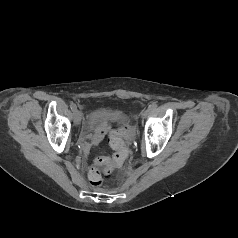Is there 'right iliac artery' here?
<instances>
[{"label": "right iliac artery", "mask_w": 238, "mask_h": 238, "mask_svg": "<svg viewBox=\"0 0 238 238\" xmlns=\"http://www.w3.org/2000/svg\"><path fill=\"white\" fill-rule=\"evenodd\" d=\"M70 107H71V110H72L73 112H76L77 109H76V106H75L74 104H72Z\"/></svg>", "instance_id": "right-iliac-artery-1"}]
</instances>
